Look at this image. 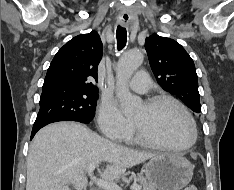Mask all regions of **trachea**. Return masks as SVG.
Here are the masks:
<instances>
[{
    "label": "trachea",
    "instance_id": "1",
    "mask_svg": "<svg viewBox=\"0 0 234 190\" xmlns=\"http://www.w3.org/2000/svg\"><path fill=\"white\" fill-rule=\"evenodd\" d=\"M117 48L121 50L125 47L127 41V31L124 27L118 26L116 30Z\"/></svg>",
    "mask_w": 234,
    "mask_h": 190
}]
</instances>
